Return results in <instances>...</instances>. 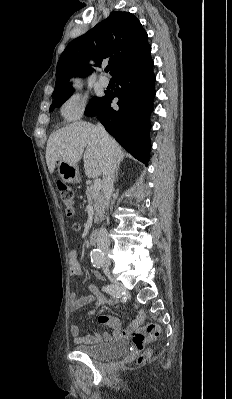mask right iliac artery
<instances>
[{"instance_id":"right-iliac-artery-1","label":"right iliac artery","mask_w":232,"mask_h":399,"mask_svg":"<svg viewBox=\"0 0 232 399\" xmlns=\"http://www.w3.org/2000/svg\"><path fill=\"white\" fill-rule=\"evenodd\" d=\"M91 262H92L94 267L100 268L105 263V257H104V255H92L91 256Z\"/></svg>"}]
</instances>
